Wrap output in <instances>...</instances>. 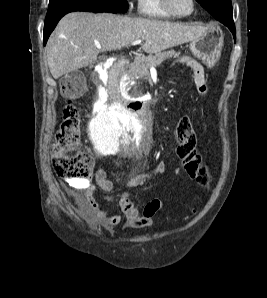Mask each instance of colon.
Returning <instances> with one entry per match:
<instances>
[{
	"mask_svg": "<svg viewBox=\"0 0 267 298\" xmlns=\"http://www.w3.org/2000/svg\"><path fill=\"white\" fill-rule=\"evenodd\" d=\"M61 93L66 100L56 141L52 148V166L56 174L66 180L84 181L92 172L93 163L84 154L72 155L68 146L75 142L80 135V119L73 100L78 98L85 87L81 73L72 72L61 79ZM174 137L177 143V154L181 158L188 175L202 185H208L211 175L203 163L197 148V135L191 120L180 117L175 125Z\"/></svg>",
	"mask_w": 267,
	"mask_h": 298,
	"instance_id": "colon-1",
	"label": "colon"
}]
</instances>
